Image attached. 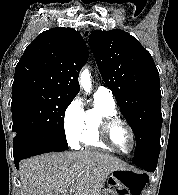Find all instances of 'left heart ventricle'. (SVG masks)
Returning a JSON list of instances; mask_svg holds the SVG:
<instances>
[{"label": "left heart ventricle", "mask_w": 178, "mask_h": 195, "mask_svg": "<svg viewBox=\"0 0 178 195\" xmlns=\"http://www.w3.org/2000/svg\"><path fill=\"white\" fill-rule=\"evenodd\" d=\"M111 141L119 149L128 151L132 146L131 136L125 126L116 125L111 132Z\"/></svg>", "instance_id": "1"}]
</instances>
